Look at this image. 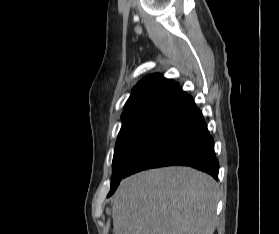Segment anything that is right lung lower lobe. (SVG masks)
<instances>
[{
	"mask_svg": "<svg viewBox=\"0 0 279 234\" xmlns=\"http://www.w3.org/2000/svg\"><path fill=\"white\" fill-rule=\"evenodd\" d=\"M169 165L191 166L218 179L214 141L190 95L171 108L141 145L129 163L125 177Z\"/></svg>",
	"mask_w": 279,
	"mask_h": 234,
	"instance_id": "1",
	"label": "right lung lower lobe"
}]
</instances>
